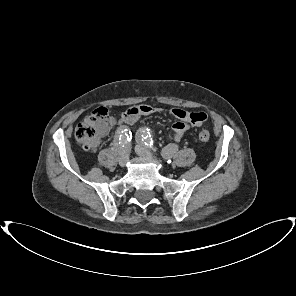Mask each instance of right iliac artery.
Instances as JSON below:
<instances>
[{"label":"right iliac artery","instance_id":"right-iliac-artery-1","mask_svg":"<svg viewBox=\"0 0 296 296\" xmlns=\"http://www.w3.org/2000/svg\"><path fill=\"white\" fill-rule=\"evenodd\" d=\"M126 130H127V128H120L116 134V141H117V144H119L120 150L125 149V139H126L125 138V131Z\"/></svg>","mask_w":296,"mask_h":296}]
</instances>
